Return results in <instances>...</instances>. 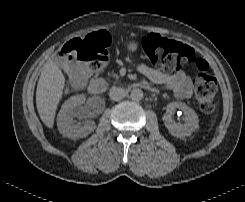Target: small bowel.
Here are the masks:
<instances>
[{
	"mask_svg": "<svg viewBox=\"0 0 245 202\" xmlns=\"http://www.w3.org/2000/svg\"><path fill=\"white\" fill-rule=\"evenodd\" d=\"M103 33L110 36V32H108L107 30H104ZM137 70L153 84L164 85L168 90H171L179 99L185 100L192 96L191 79L185 72L178 71L173 74H166L146 64H140L137 67ZM82 85L83 82L78 83L79 87H81Z\"/></svg>",
	"mask_w": 245,
	"mask_h": 202,
	"instance_id": "small-bowel-1",
	"label": "small bowel"
}]
</instances>
